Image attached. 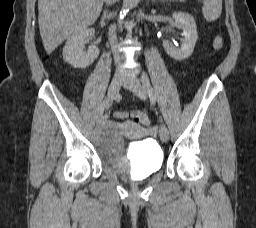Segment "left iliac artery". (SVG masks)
Listing matches in <instances>:
<instances>
[{
  "instance_id": "1",
  "label": "left iliac artery",
  "mask_w": 256,
  "mask_h": 228,
  "mask_svg": "<svg viewBox=\"0 0 256 228\" xmlns=\"http://www.w3.org/2000/svg\"><path fill=\"white\" fill-rule=\"evenodd\" d=\"M141 82L145 88V90L147 91L150 99H155V93H154V90L151 86V83L149 81V78H148V75L143 72L142 75H141Z\"/></svg>"
}]
</instances>
